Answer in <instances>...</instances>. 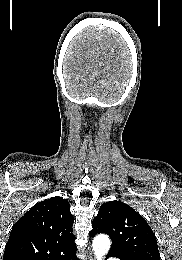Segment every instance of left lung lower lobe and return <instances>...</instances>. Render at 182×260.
Segmentation results:
<instances>
[{
  "label": "left lung lower lobe",
  "mask_w": 182,
  "mask_h": 260,
  "mask_svg": "<svg viewBox=\"0 0 182 260\" xmlns=\"http://www.w3.org/2000/svg\"><path fill=\"white\" fill-rule=\"evenodd\" d=\"M108 256L109 257H117V256H115V255H111V254H108ZM120 260H125V259H123V258H119Z\"/></svg>",
  "instance_id": "0a47b994"
}]
</instances>
